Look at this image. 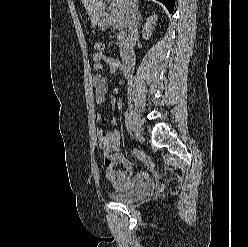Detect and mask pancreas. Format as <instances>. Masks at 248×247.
Listing matches in <instances>:
<instances>
[{
  "label": "pancreas",
  "instance_id": "cf45deb5",
  "mask_svg": "<svg viewBox=\"0 0 248 247\" xmlns=\"http://www.w3.org/2000/svg\"><path fill=\"white\" fill-rule=\"evenodd\" d=\"M114 26L119 29L117 40L119 41L120 55L124 56L128 48V37L125 26L121 19H117L114 22Z\"/></svg>",
  "mask_w": 248,
  "mask_h": 247
}]
</instances>
